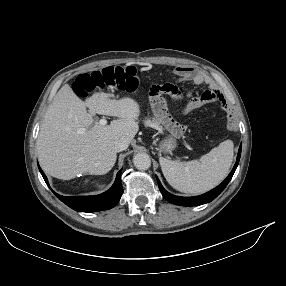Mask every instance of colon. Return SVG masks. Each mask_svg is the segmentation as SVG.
Segmentation results:
<instances>
[{
  "label": "colon",
  "mask_w": 286,
  "mask_h": 286,
  "mask_svg": "<svg viewBox=\"0 0 286 286\" xmlns=\"http://www.w3.org/2000/svg\"><path fill=\"white\" fill-rule=\"evenodd\" d=\"M139 81V76L134 67L109 66L98 71L80 74L75 82V92L80 97H85L97 89L106 88L133 92L138 88ZM151 94L152 112L160 126L177 138L185 139L189 135V130L169 116L170 109L162 96L164 94L171 96L178 94L177 87L172 84L154 85L151 88Z\"/></svg>",
  "instance_id": "1"
}]
</instances>
